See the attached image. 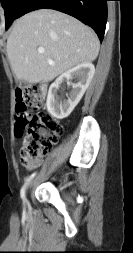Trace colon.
Returning a JSON list of instances; mask_svg holds the SVG:
<instances>
[{
  "mask_svg": "<svg viewBox=\"0 0 133 253\" xmlns=\"http://www.w3.org/2000/svg\"><path fill=\"white\" fill-rule=\"evenodd\" d=\"M16 98L15 134L22 138L21 162L29 166L50 152L62 128L47 113H31V109L42 105L38 87L20 88L16 91Z\"/></svg>",
  "mask_w": 133,
  "mask_h": 253,
  "instance_id": "1",
  "label": "colon"
}]
</instances>
